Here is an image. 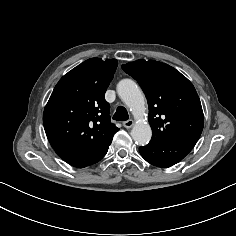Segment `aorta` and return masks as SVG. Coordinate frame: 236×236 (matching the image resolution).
Masks as SVG:
<instances>
[{"instance_id":"obj_1","label":"aorta","mask_w":236,"mask_h":236,"mask_svg":"<svg viewBox=\"0 0 236 236\" xmlns=\"http://www.w3.org/2000/svg\"><path fill=\"white\" fill-rule=\"evenodd\" d=\"M117 93L136 118H140L143 115L145 112L144 95L133 80H121L117 84ZM131 136L137 144H147L152 136L150 125L146 122H137L131 130Z\"/></svg>"}]
</instances>
